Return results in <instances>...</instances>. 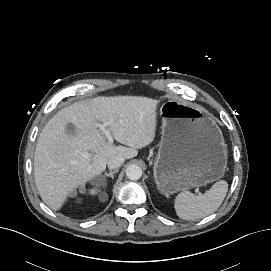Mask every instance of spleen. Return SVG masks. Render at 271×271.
Here are the masks:
<instances>
[{
    "label": "spleen",
    "mask_w": 271,
    "mask_h": 271,
    "mask_svg": "<svg viewBox=\"0 0 271 271\" xmlns=\"http://www.w3.org/2000/svg\"><path fill=\"white\" fill-rule=\"evenodd\" d=\"M228 191V183L217 181L204 194L195 195L190 191L179 193L174 201L176 214L183 220H199L214 213L222 204Z\"/></svg>",
    "instance_id": "spleen-1"
}]
</instances>
